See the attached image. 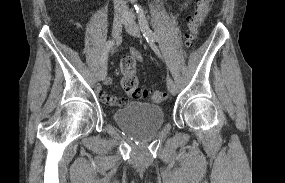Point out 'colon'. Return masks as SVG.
<instances>
[{"instance_id":"colon-1","label":"colon","mask_w":285,"mask_h":183,"mask_svg":"<svg viewBox=\"0 0 285 183\" xmlns=\"http://www.w3.org/2000/svg\"><path fill=\"white\" fill-rule=\"evenodd\" d=\"M211 1L212 0H196V7L187 17L188 34L186 38V45L188 47L192 46L196 40L198 29L208 13ZM136 71V60L132 56H126L121 60V86L129 96L135 99L147 98L153 103H161L167 99V93L164 91H147L142 89L139 85ZM112 103L115 105H122L123 100L115 97L112 99Z\"/></svg>"}]
</instances>
